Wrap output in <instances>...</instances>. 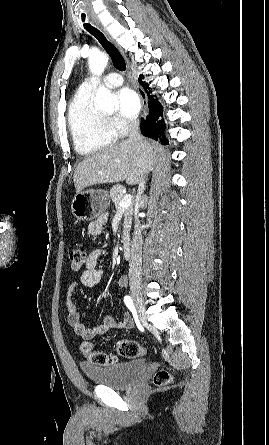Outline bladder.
Segmentation results:
<instances>
[{
	"label": "bladder",
	"instance_id": "bladder-1",
	"mask_svg": "<svg viewBox=\"0 0 269 445\" xmlns=\"http://www.w3.org/2000/svg\"><path fill=\"white\" fill-rule=\"evenodd\" d=\"M81 369L89 381L112 389L123 390L140 381L147 370V362L143 359H133L111 366L82 363Z\"/></svg>",
	"mask_w": 269,
	"mask_h": 445
}]
</instances>
